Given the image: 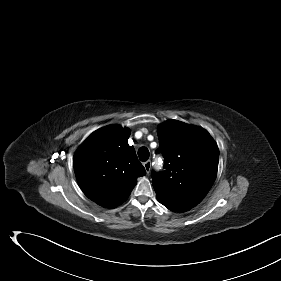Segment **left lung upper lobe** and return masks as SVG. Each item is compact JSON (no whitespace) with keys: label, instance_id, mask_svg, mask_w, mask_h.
<instances>
[{"label":"left lung upper lobe","instance_id":"5c2ea615","mask_svg":"<svg viewBox=\"0 0 281 281\" xmlns=\"http://www.w3.org/2000/svg\"><path fill=\"white\" fill-rule=\"evenodd\" d=\"M165 170L153 174V187L164 206L194 207L212 187L218 170L219 149L203 128L168 120L157 130Z\"/></svg>","mask_w":281,"mask_h":281}]
</instances>
